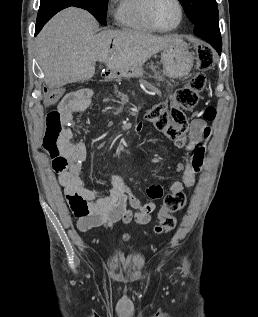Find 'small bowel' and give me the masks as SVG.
Segmentation results:
<instances>
[{
  "instance_id": "1",
  "label": "small bowel",
  "mask_w": 258,
  "mask_h": 317,
  "mask_svg": "<svg viewBox=\"0 0 258 317\" xmlns=\"http://www.w3.org/2000/svg\"><path fill=\"white\" fill-rule=\"evenodd\" d=\"M90 96L89 90L72 92L65 96L58 109L71 122L75 115L89 107ZM142 129L143 123L140 122L136 125V131L141 132ZM210 134L211 128L203 120L194 119L189 132L174 141L177 148L184 150V154L176 167L179 179L169 184L170 193L191 189L196 175L202 170ZM71 138L72 132L69 130L67 142L58 153H51V157L53 169L58 173L59 183L79 230L128 224L132 220L138 224L149 223L156 210L153 200L163 196V187H148L146 193L152 201L145 204L140 202L120 175L112 176L106 192L89 187L82 178L83 163L87 157L86 144L83 141L73 142Z\"/></svg>"
}]
</instances>
